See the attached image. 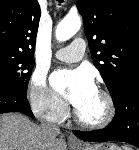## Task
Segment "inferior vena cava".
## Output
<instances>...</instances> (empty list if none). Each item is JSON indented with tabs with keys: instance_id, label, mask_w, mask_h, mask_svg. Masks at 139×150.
I'll return each instance as SVG.
<instances>
[{
	"instance_id": "602c4592",
	"label": "inferior vena cava",
	"mask_w": 139,
	"mask_h": 150,
	"mask_svg": "<svg viewBox=\"0 0 139 150\" xmlns=\"http://www.w3.org/2000/svg\"><path fill=\"white\" fill-rule=\"evenodd\" d=\"M41 129L48 133H59V131H60L57 125L46 124V123L41 125Z\"/></svg>"
}]
</instances>
